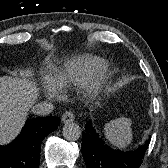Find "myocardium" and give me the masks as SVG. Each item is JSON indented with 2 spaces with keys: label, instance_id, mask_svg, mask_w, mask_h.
Instances as JSON below:
<instances>
[{
  "label": "myocardium",
  "instance_id": "f54148a6",
  "mask_svg": "<svg viewBox=\"0 0 168 168\" xmlns=\"http://www.w3.org/2000/svg\"><path fill=\"white\" fill-rule=\"evenodd\" d=\"M98 89H99L98 85L95 84V85H93V87H92V92H93L94 94H97V93H98Z\"/></svg>",
  "mask_w": 168,
  "mask_h": 168
}]
</instances>
